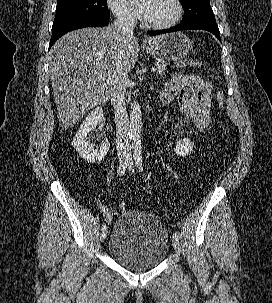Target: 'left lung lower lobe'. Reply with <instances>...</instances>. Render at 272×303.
<instances>
[{
  "label": "left lung lower lobe",
  "instance_id": "0a47b994",
  "mask_svg": "<svg viewBox=\"0 0 272 303\" xmlns=\"http://www.w3.org/2000/svg\"><path fill=\"white\" fill-rule=\"evenodd\" d=\"M194 29H201V30H206L211 33H213L220 41V32L218 29V26L216 24V21H205V22H200V23H192V24H180L178 26L165 29V30H160V31H149L148 34L155 36L159 35L162 33H170V32H175V31H181V30H194Z\"/></svg>",
  "mask_w": 272,
  "mask_h": 303
}]
</instances>
